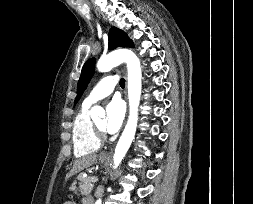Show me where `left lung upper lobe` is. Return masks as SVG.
Segmentation results:
<instances>
[{
    "mask_svg": "<svg viewBox=\"0 0 253 204\" xmlns=\"http://www.w3.org/2000/svg\"><path fill=\"white\" fill-rule=\"evenodd\" d=\"M109 49L117 47H134L133 42L127 37V34L122 30L112 27L109 31ZM95 70V58L87 60L82 68L80 79L77 84V97L74 104H76L84 90L86 89Z\"/></svg>",
    "mask_w": 253,
    "mask_h": 204,
    "instance_id": "1",
    "label": "left lung upper lobe"
}]
</instances>
